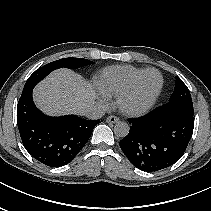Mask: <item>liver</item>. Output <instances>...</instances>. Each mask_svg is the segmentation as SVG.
<instances>
[{
  "label": "liver",
  "instance_id": "6515ba94",
  "mask_svg": "<svg viewBox=\"0 0 211 211\" xmlns=\"http://www.w3.org/2000/svg\"><path fill=\"white\" fill-rule=\"evenodd\" d=\"M36 105L48 115L83 114L96 93L83 78L68 69L52 72L33 92Z\"/></svg>",
  "mask_w": 211,
  "mask_h": 211
}]
</instances>
